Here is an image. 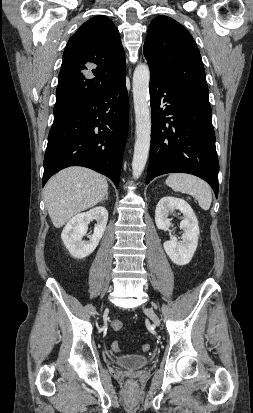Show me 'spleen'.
I'll use <instances>...</instances> for the list:
<instances>
[{
    "label": "spleen",
    "mask_w": 253,
    "mask_h": 413,
    "mask_svg": "<svg viewBox=\"0 0 253 413\" xmlns=\"http://www.w3.org/2000/svg\"><path fill=\"white\" fill-rule=\"evenodd\" d=\"M166 184L174 191L192 195L198 200L203 210H208L212 203V192L207 182L184 173H173L166 179Z\"/></svg>",
    "instance_id": "1"
}]
</instances>
